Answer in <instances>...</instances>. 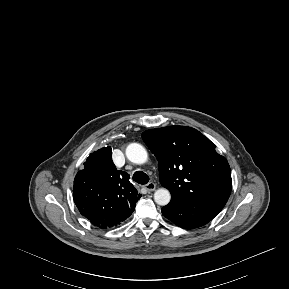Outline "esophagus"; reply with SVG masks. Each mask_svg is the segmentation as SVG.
<instances>
[{
    "mask_svg": "<svg viewBox=\"0 0 289 289\" xmlns=\"http://www.w3.org/2000/svg\"><path fill=\"white\" fill-rule=\"evenodd\" d=\"M145 189L148 192H152V191H154L156 189V185L153 182H149L147 185H145Z\"/></svg>",
    "mask_w": 289,
    "mask_h": 289,
    "instance_id": "esophagus-1",
    "label": "esophagus"
}]
</instances>
